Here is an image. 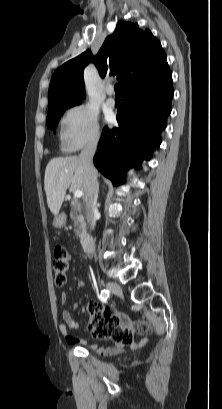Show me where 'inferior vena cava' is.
Wrapping results in <instances>:
<instances>
[{"label":"inferior vena cava","instance_id":"inferior-vena-cava-1","mask_svg":"<svg viewBox=\"0 0 222 409\" xmlns=\"http://www.w3.org/2000/svg\"><path fill=\"white\" fill-rule=\"evenodd\" d=\"M98 144V137L91 139L83 148L79 155L84 170L85 178L83 183L84 190V203H85V214L87 223L90 229L93 230L96 225V216L98 214L97 210V198H98V181H97V170L93 165V157L96 152Z\"/></svg>","mask_w":222,"mask_h":409}]
</instances>
